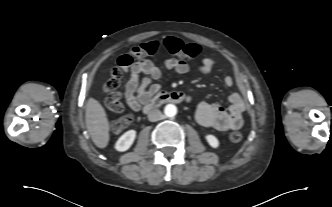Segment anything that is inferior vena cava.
Listing matches in <instances>:
<instances>
[{"label": "inferior vena cava", "mask_w": 332, "mask_h": 207, "mask_svg": "<svg viewBox=\"0 0 332 207\" xmlns=\"http://www.w3.org/2000/svg\"><path fill=\"white\" fill-rule=\"evenodd\" d=\"M162 117H163V115H162L161 111L158 110V109H153L148 114V119L151 122H155V121L161 120Z\"/></svg>", "instance_id": "602c4592"}]
</instances>
